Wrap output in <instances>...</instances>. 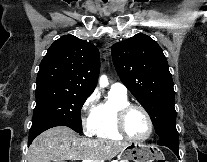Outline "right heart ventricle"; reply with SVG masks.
<instances>
[{
  "instance_id": "obj_1",
  "label": "right heart ventricle",
  "mask_w": 207,
  "mask_h": 162,
  "mask_svg": "<svg viewBox=\"0 0 207 162\" xmlns=\"http://www.w3.org/2000/svg\"><path fill=\"white\" fill-rule=\"evenodd\" d=\"M127 103L126 95L110 91L108 99L97 105L93 133L97 138L112 141L124 139L116 130L115 116L117 110Z\"/></svg>"
}]
</instances>
